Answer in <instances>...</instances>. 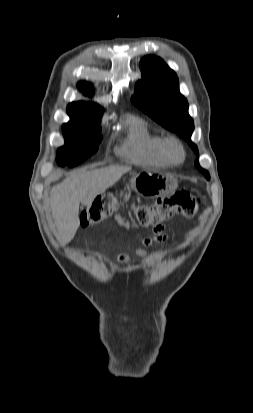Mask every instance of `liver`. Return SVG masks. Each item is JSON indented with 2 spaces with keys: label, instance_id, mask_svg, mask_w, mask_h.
<instances>
[{
  "label": "liver",
  "instance_id": "liver-1",
  "mask_svg": "<svg viewBox=\"0 0 253 413\" xmlns=\"http://www.w3.org/2000/svg\"><path fill=\"white\" fill-rule=\"evenodd\" d=\"M127 166H109L97 170L72 173L61 184L52 188L50 207L61 244L70 242L79 228V204L89 206L94 199L115 184Z\"/></svg>",
  "mask_w": 253,
  "mask_h": 413
}]
</instances>
